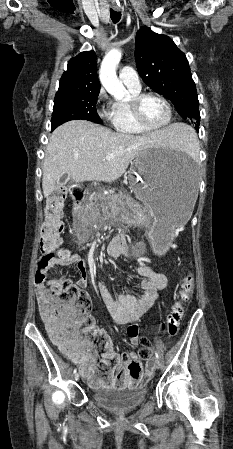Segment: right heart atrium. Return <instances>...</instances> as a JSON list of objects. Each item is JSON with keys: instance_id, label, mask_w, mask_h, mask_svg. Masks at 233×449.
I'll return each mask as SVG.
<instances>
[{"instance_id": "1", "label": "right heart atrium", "mask_w": 233, "mask_h": 449, "mask_svg": "<svg viewBox=\"0 0 233 449\" xmlns=\"http://www.w3.org/2000/svg\"><path fill=\"white\" fill-rule=\"evenodd\" d=\"M106 97V92L103 88L100 89L99 93H98V98L99 99H104Z\"/></svg>"}]
</instances>
